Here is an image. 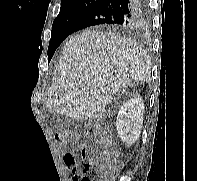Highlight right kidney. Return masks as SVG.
Returning a JSON list of instances; mask_svg holds the SVG:
<instances>
[{
  "mask_svg": "<svg viewBox=\"0 0 197 181\" xmlns=\"http://www.w3.org/2000/svg\"><path fill=\"white\" fill-rule=\"evenodd\" d=\"M144 103L142 98L134 97L124 103L116 118V128L121 140L131 145L135 143L143 124Z\"/></svg>",
  "mask_w": 197,
  "mask_h": 181,
  "instance_id": "ca27d5eb",
  "label": "right kidney"
}]
</instances>
